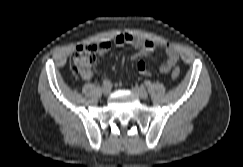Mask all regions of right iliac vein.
<instances>
[{"label":"right iliac vein","mask_w":243,"mask_h":167,"mask_svg":"<svg viewBox=\"0 0 243 167\" xmlns=\"http://www.w3.org/2000/svg\"><path fill=\"white\" fill-rule=\"evenodd\" d=\"M110 92H111V88H110V86H103V87H102V93H103L104 95H109Z\"/></svg>","instance_id":"obj_1"}]
</instances>
